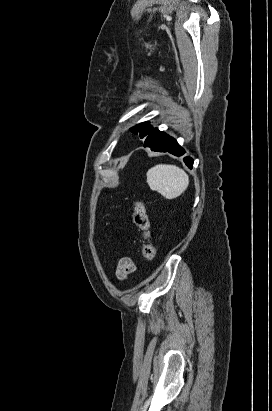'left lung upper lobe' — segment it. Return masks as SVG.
Wrapping results in <instances>:
<instances>
[{
    "label": "left lung upper lobe",
    "instance_id": "left-lung-upper-lobe-1",
    "mask_svg": "<svg viewBox=\"0 0 272 411\" xmlns=\"http://www.w3.org/2000/svg\"><path fill=\"white\" fill-rule=\"evenodd\" d=\"M156 128H153L149 123L144 122L140 123L138 125H135L134 127L130 128V131L134 134L140 133V138L146 137L148 134H150L153 131H156Z\"/></svg>",
    "mask_w": 272,
    "mask_h": 411
}]
</instances>
